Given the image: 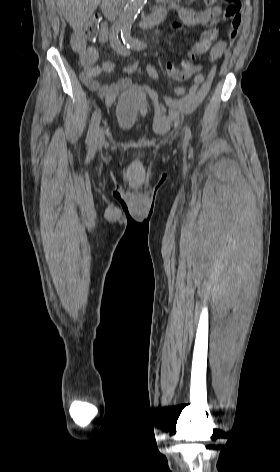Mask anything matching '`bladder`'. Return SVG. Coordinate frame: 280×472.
Instances as JSON below:
<instances>
[{
	"instance_id": "bladder-1",
	"label": "bladder",
	"mask_w": 280,
	"mask_h": 472,
	"mask_svg": "<svg viewBox=\"0 0 280 472\" xmlns=\"http://www.w3.org/2000/svg\"><path fill=\"white\" fill-rule=\"evenodd\" d=\"M147 107V92L137 85L129 87L117 100L115 117L118 126L124 130L131 129Z\"/></svg>"
}]
</instances>
